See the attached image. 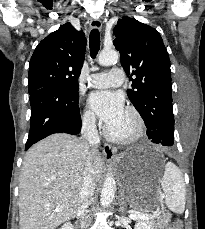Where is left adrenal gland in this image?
<instances>
[{
    "label": "left adrenal gland",
    "instance_id": "left-adrenal-gland-1",
    "mask_svg": "<svg viewBox=\"0 0 205 229\" xmlns=\"http://www.w3.org/2000/svg\"><path fill=\"white\" fill-rule=\"evenodd\" d=\"M119 205H120L119 212H124L125 201H124V196L122 195V193L119 196Z\"/></svg>",
    "mask_w": 205,
    "mask_h": 229
}]
</instances>
